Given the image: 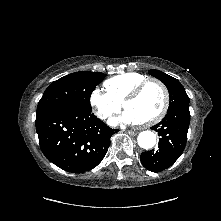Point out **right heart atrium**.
I'll return each instance as SVG.
<instances>
[{
  "label": "right heart atrium",
  "instance_id": "right-heart-atrium-1",
  "mask_svg": "<svg viewBox=\"0 0 221 221\" xmlns=\"http://www.w3.org/2000/svg\"><path fill=\"white\" fill-rule=\"evenodd\" d=\"M90 104L95 115L102 120H106L113 113L119 111L121 104L114 100L108 93L100 89H95L90 95Z\"/></svg>",
  "mask_w": 221,
  "mask_h": 221
}]
</instances>
